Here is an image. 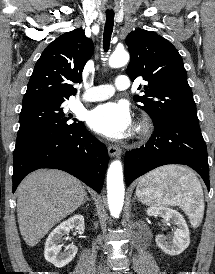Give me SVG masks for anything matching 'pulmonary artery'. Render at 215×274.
<instances>
[{"instance_id":"e3ab8cb5","label":"pulmonary artery","mask_w":215,"mask_h":274,"mask_svg":"<svg viewBox=\"0 0 215 274\" xmlns=\"http://www.w3.org/2000/svg\"><path fill=\"white\" fill-rule=\"evenodd\" d=\"M130 80L126 75H118L114 85L104 84L88 89L83 95L84 101L95 102L102 101L111 97L115 90H125L129 88Z\"/></svg>"}]
</instances>
